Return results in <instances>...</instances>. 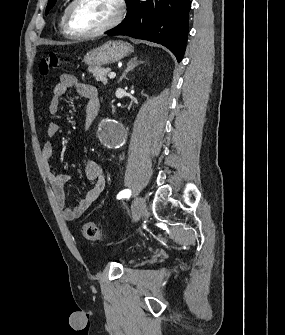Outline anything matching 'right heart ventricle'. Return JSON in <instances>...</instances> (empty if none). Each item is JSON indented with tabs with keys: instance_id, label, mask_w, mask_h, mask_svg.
I'll return each instance as SVG.
<instances>
[{
	"instance_id": "e07e8e85",
	"label": "right heart ventricle",
	"mask_w": 285,
	"mask_h": 335,
	"mask_svg": "<svg viewBox=\"0 0 285 335\" xmlns=\"http://www.w3.org/2000/svg\"><path fill=\"white\" fill-rule=\"evenodd\" d=\"M72 1L69 2L68 6H67V9H66V12L68 11L70 5H71Z\"/></svg>"
}]
</instances>
